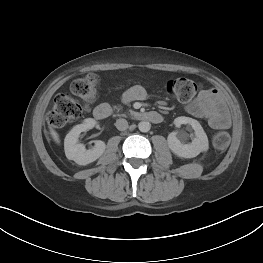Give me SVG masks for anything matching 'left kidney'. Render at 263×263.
<instances>
[{"mask_svg": "<svg viewBox=\"0 0 263 263\" xmlns=\"http://www.w3.org/2000/svg\"><path fill=\"white\" fill-rule=\"evenodd\" d=\"M176 127L189 124L195 131V138L189 144H184L178 136V132H171L167 137L168 146L171 151L181 158H193L209 148L208 138L200 123L190 117H177L174 120Z\"/></svg>", "mask_w": 263, "mask_h": 263, "instance_id": "5707ae66", "label": "left kidney"}]
</instances>
